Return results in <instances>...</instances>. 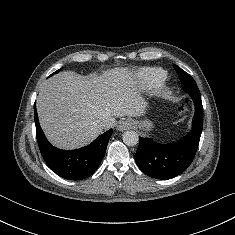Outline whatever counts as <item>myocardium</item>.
<instances>
[{
	"instance_id": "f54148a6",
	"label": "myocardium",
	"mask_w": 235,
	"mask_h": 235,
	"mask_svg": "<svg viewBox=\"0 0 235 235\" xmlns=\"http://www.w3.org/2000/svg\"><path fill=\"white\" fill-rule=\"evenodd\" d=\"M157 92H158V94L161 95V96H166V95H168L169 92H170V87L167 86V85L163 82V83H161L160 85H158V87H157Z\"/></svg>"
}]
</instances>
